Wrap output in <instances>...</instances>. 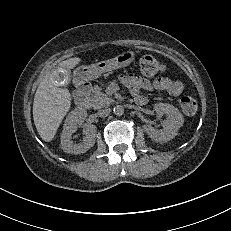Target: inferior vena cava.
<instances>
[{"label":"inferior vena cava","mask_w":231,"mask_h":231,"mask_svg":"<svg viewBox=\"0 0 231 231\" xmlns=\"http://www.w3.org/2000/svg\"><path fill=\"white\" fill-rule=\"evenodd\" d=\"M110 109H101V110H99L98 112H97V115L99 116V117H107L109 114H110Z\"/></svg>","instance_id":"obj_1"}]
</instances>
